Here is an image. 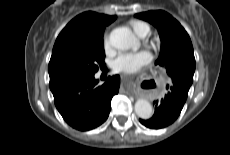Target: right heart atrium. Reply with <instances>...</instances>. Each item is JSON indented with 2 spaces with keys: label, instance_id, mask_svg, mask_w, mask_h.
Returning <instances> with one entry per match:
<instances>
[{
  "label": "right heart atrium",
  "instance_id": "right-heart-atrium-1",
  "mask_svg": "<svg viewBox=\"0 0 230 155\" xmlns=\"http://www.w3.org/2000/svg\"><path fill=\"white\" fill-rule=\"evenodd\" d=\"M109 45H110L109 35L106 34V35L104 36V46H105V48H108Z\"/></svg>",
  "mask_w": 230,
  "mask_h": 155
}]
</instances>
